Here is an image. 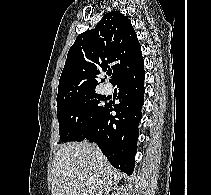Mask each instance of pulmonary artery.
<instances>
[{
  "instance_id": "e3ab8cb5",
  "label": "pulmonary artery",
  "mask_w": 211,
  "mask_h": 195,
  "mask_svg": "<svg viewBox=\"0 0 211 195\" xmlns=\"http://www.w3.org/2000/svg\"><path fill=\"white\" fill-rule=\"evenodd\" d=\"M104 91H105L106 93H110V92L112 91V86H111V84H109V83L105 84V85H104Z\"/></svg>"
}]
</instances>
